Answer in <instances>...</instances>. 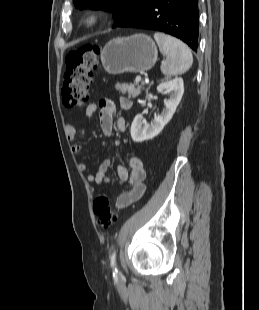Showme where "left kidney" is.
<instances>
[{
	"instance_id": "obj_1",
	"label": "left kidney",
	"mask_w": 259,
	"mask_h": 310,
	"mask_svg": "<svg viewBox=\"0 0 259 310\" xmlns=\"http://www.w3.org/2000/svg\"><path fill=\"white\" fill-rule=\"evenodd\" d=\"M157 91L169 92V99L164 100L165 108L161 114L155 115L153 121L147 124L141 114H138L131 125V137L134 142H143L157 136L171 120L184 93L183 79L177 77L158 85ZM145 103H143V106Z\"/></svg>"
}]
</instances>
